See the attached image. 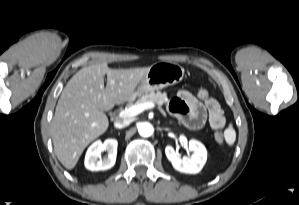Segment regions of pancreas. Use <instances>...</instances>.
Wrapping results in <instances>:
<instances>
[{
    "label": "pancreas",
    "mask_w": 299,
    "mask_h": 205,
    "mask_svg": "<svg viewBox=\"0 0 299 205\" xmlns=\"http://www.w3.org/2000/svg\"><path fill=\"white\" fill-rule=\"evenodd\" d=\"M167 94L166 93H161V92H150L147 94L142 95L135 103L136 104H142L146 102H155L158 105H163L167 102ZM129 107L133 106V103L128 104Z\"/></svg>",
    "instance_id": "cf45deb5"
}]
</instances>
